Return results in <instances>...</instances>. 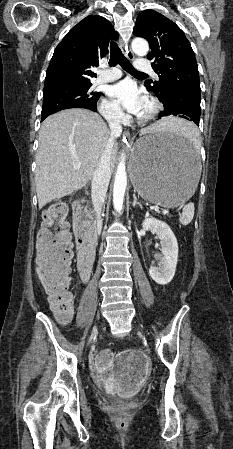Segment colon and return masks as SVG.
<instances>
[{
	"label": "colon",
	"instance_id": "colon-1",
	"mask_svg": "<svg viewBox=\"0 0 233 449\" xmlns=\"http://www.w3.org/2000/svg\"><path fill=\"white\" fill-rule=\"evenodd\" d=\"M64 200L52 202L44 213V223L38 234L37 274L53 309L62 318L72 313L70 267L71 236Z\"/></svg>",
	"mask_w": 233,
	"mask_h": 449
}]
</instances>
